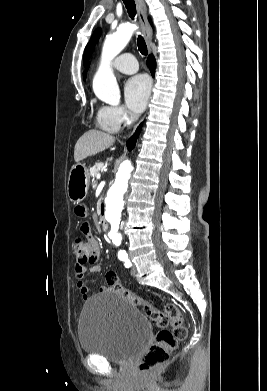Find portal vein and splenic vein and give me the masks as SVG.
Instances as JSON below:
<instances>
[{"label":"portal vein and splenic vein","mask_w":267,"mask_h":391,"mask_svg":"<svg viewBox=\"0 0 267 391\" xmlns=\"http://www.w3.org/2000/svg\"><path fill=\"white\" fill-rule=\"evenodd\" d=\"M100 177H101V175H100V173H98V174H97V178H100Z\"/></svg>","instance_id":"1"}]
</instances>
